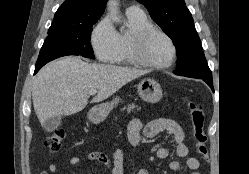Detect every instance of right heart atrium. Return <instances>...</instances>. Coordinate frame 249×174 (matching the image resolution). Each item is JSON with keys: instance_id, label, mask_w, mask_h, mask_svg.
<instances>
[{"instance_id": "right-heart-atrium-1", "label": "right heart atrium", "mask_w": 249, "mask_h": 174, "mask_svg": "<svg viewBox=\"0 0 249 174\" xmlns=\"http://www.w3.org/2000/svg\"><path fill=\"white\" fill-rule=\"evenodd\" d=\"M91 46L102 62L112 63L120 49L118 33L108 18L101 19L91 33Z\"/></svg>"}]
</instances>
